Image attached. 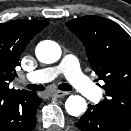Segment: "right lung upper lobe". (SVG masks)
Instances as JSON below:
<instances>
[{"instance_id":"right-lung-upper-lobe-1","label":"right lung upper lobe","mask_w":131,"mask_h":131,"mask_svg":"<svg viewBox=\"0 0 131 131\" xmlns=\"http://www.w3.org/2000/svg\"><path fill=\"white\" fill-rule=\"evenodd\" d=\"M49 24L41 20H13L0 24V94L18 91L9 88L20 66V55L30 40Z\"/></svg>"}]
</instances>
